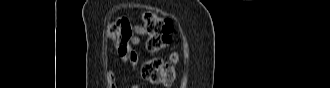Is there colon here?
<instances>
[{
	"label": "colon",
	"mask_w": 330,
	"mask_h": 88,
	"mask_svg": "<svg viewBox=\"0 0 330 88\" xmlns=\"http://www.w3.org/2000/svg\"><path fill=\"white\" fill-rule=\"evenodd\" d=\"M142 27L147 35L146 50L149 58L141 66V76L151 84L170 86L176 76L179 58L174 53L165 61L159 57V53L171 42L173 23L155 12H146ZM134 34L133 26L125 18L116 19L106 30L108 40L115 45L120 57L129 55L130 40Z\"/></svg>",
	"instance_id": "1"
}]
</instances>
